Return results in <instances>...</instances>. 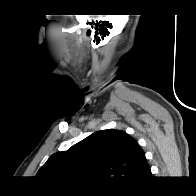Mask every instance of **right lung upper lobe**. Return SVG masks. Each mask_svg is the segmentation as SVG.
Returning <instances> with one entry per match:
<instances>
[{
	"label": "right lung upper lobe",
	"instance_id": "cb5924a9",
	"mask_svg": "<svg viewBox=\"0 0 196 196\" xmlns=\"http://www.w3.org/2000/svg\"><path fill=\"white\" fill-rule=\"evenodd\" d=\"M151 174L137 141L122 130H100L53 154L36 174L56 185L130 186Z\"/></svg>",
	"mask_w": 196,
	"mask_h": 196
}]
</instances>
